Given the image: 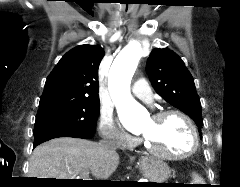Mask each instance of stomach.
Instances as JSON below:
<instances>
[{"label": "stomach", "mask_w": 240, "mask_h": 187, "mask_svg": "<svg viewBox=\"0 0 240 187\" xmlns=\"http://www.w3.org/2000/svg\"><path fill=\"white\" fill-rule=\"evenodd\" d=\"M141 170L150 182L156 183H164L171 174L168 164L157 158H145L141 163Z\"/></svg>", "instance_id": "0dacf381"}]
</instances>
